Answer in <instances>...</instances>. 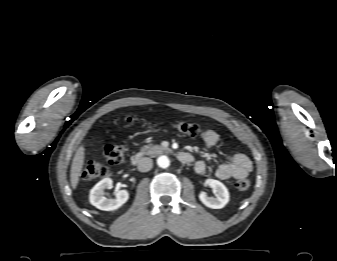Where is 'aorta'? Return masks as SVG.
Returning <instances> with one entry per match:
<instances>
[{
  "instance_id": "obj_1",
  "label": "aorta",
  "mask_w": 337,
  "mask_h": 261,
  "mask_svg": "<svg viewBox=\"0 0 337 261\" xmlns=\"http://www.w3.org/2000/svg\"><path fill=\"white\" fill-rule=\"evenodd\" d=\"M157 164L161 168H168L170 165V160L167 156L162 155L158 157Z\"/></svg>"
}]
</instances>
